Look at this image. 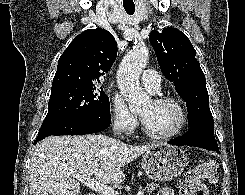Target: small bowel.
Listing matches in <instances>:
<instances>
[{
	"label": "small bowel",
	"instance_id": "obj_1",
	"mask_svg": "<svg viewBox=\"0 0 245 195\" xmlns=\"http://www.w3.org/2000/svg\"><path fill=\"white\" fill-rule=\"evenodd\" d=\"M157 195H174V192L169 187H163L159 190Z\"/></svg>",
	"mask_w": 245,
	"mask_h": 195
}]
</instances>
